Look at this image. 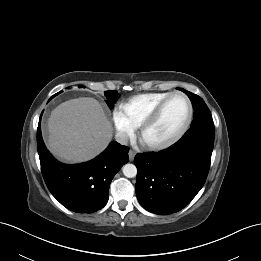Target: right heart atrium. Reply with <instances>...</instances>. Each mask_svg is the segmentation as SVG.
Wrapping results in <instances>:
<instances>
[{
	"label": "right heart atrium",
	"instance_id": "obj_1",
	"mask_svg": "<svg viewBox=\"0 0 261 261\" xmlns=\"http://www.w3.org/2000/svg\"><path fill=\"white\" fill-rule=\"evenodd\" d=\"M111 118L116 131V136L120 141H125L133 135L134 128L128 122L121 110L114 109Z\"/></svg>",
	"mask_w": 261,
	"mask_h": 261
}]
</instances>
